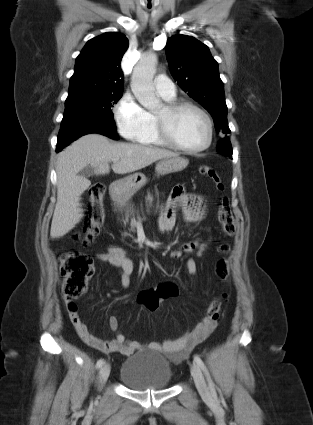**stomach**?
I'll return each mask as SVG.
<instances>
[{
  "label": "stomach",
  "mask_w": 313,
  "mask_h": 425,
  "mask_svg": "<svg viewBox=\"0 0 313 425\" xmlns=\"http://www.w3.org/2000/svg\"><path fill=\"white\" fill-rule=\"evenodd\" d=\"M189 161L183 157H172L163 159L156 164L157 176H164L170 173L180 172L185 169ZM147 183V178L143 173H135L113 184L112 195L118 199H128Z\"/></svg>",
  "instance_id": "1"
}]
</instances>
